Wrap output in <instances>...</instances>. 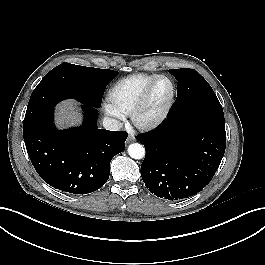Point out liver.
I'll use <instances>...</instances> for the list:
<instances>
[{
  "mask_svg": "<svg viewBox=\"0 0 265 265\" xmlns=\"http://www.w3.org/2000/svg\"><path fill=\"white\" fill-rule=\"evenodd\" d=\"M74 101L63 102L57 112V123L60 127L68 126L69 124H77L80 121V117L76 111Z\"/></svg>",
  "mask_w": 265,
  "mask_h": 265,
  "instance_id": "1",
  "label": "liver"
}]
</instances>
